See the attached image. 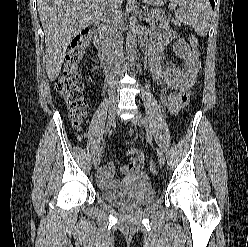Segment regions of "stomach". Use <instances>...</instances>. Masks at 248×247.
Segmentation results:
<instances>
[{
	"label": "stomach",
	"instance_id": "1",
	"mask_svg": "<svg viewBox=\"0 0 248 247\" xmlns=\"http://www.w3.org/2000/svg\"><path fill=\"white\" fill-rule=\"evenodd\" d=\"M144 3L148 5L158 6L162 5L166 0H142Z\"/></svg>",
	"mask_w": 248,
	"mask_h": 247
}]
</instances>
